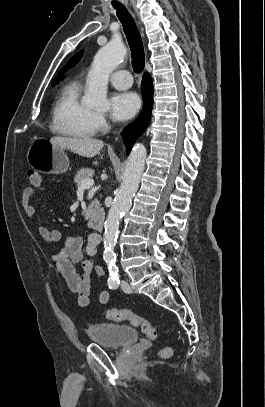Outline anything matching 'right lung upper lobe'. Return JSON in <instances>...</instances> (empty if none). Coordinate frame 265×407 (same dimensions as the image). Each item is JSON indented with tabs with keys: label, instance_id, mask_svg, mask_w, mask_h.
Here are the masks:
<instances>
[{
	"label": "right lung upper lobe",
	"instance_id": "1",
	"mask_svg": "<svg viewBox=\"0 0 265 407\" xmlns=\"http://www.w3.org/2000/svg\"><path fill=\"white\" fill-rule=\"evenodd\" d=\"M82 55H83V51H81V52L77 53L76 55H74L70 59V61L60 70V72L58 73L59 78L56 77L54 79V81H53V84H56L59 81V79H63L62 74L64 72H66L69 68L73 67L76 63H78V61L80 60Z\"/></svg>",
	"mask_w": 265,
	"mask_h": 407
}]
</instances>
